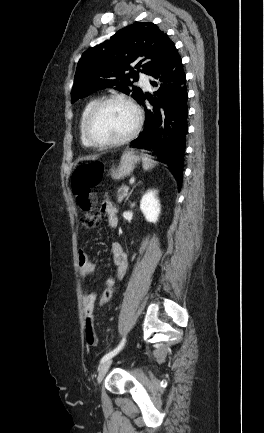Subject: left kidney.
<instances>
[{
  "instance_id": "5707ae66",
  "label": "left kidney",
  "mask_w": 264,
  "mask_h": 433,
  "mask_svg": "<svg viewBox=\"0 0 264 433\" xmlns=\"http://www.w3.org/2000/svg\"><path fill=\"white\" fill-rule=\"evenodd\" d=\"M157 194V190H149L143 195L140 202V209L150 223H156L161 212Z\"/></svg>"
}]
</instances>
